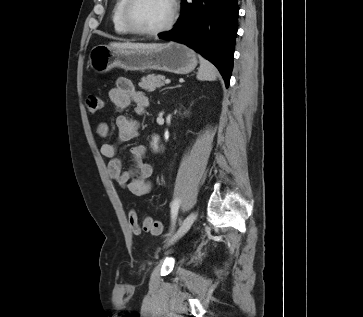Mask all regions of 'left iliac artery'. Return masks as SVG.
<instances>
[{"mask_svg":"<svg viewBox=\"0 0 363 317\" xmlns=\"http://www.w3.org/2000/svg\"><path fill=\"white\" fill-rule=\"evenodd\" d=\"M179 205H180L179 199H175L171 204L172 225H175V220L178 214Z\"/></svg>","mask_w":363,"mask_h":317,"instance_id":"obj_1","label":"left iliac artery"}]
</instances>
